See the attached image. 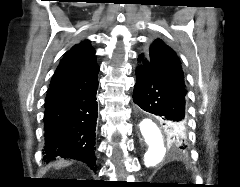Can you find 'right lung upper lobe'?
<instances>
[{"instance_id": "right-lung-upper-lobe-1", "label": "right lung upper lobe", "mask_w": 240, "mask_h": 187, "mask_svg": "<svg viewBox=\"0 0 240 187\" xmlns=\"http://www.w3.org/2000/svg\"><path fill=\"white\" fill-rule=\"evenodd\" d=\"M95 50L85 40L68 51L54 73L50 86L56 85L66 78L86 72L97 67Z\"/></svg>"}]
</instances>
